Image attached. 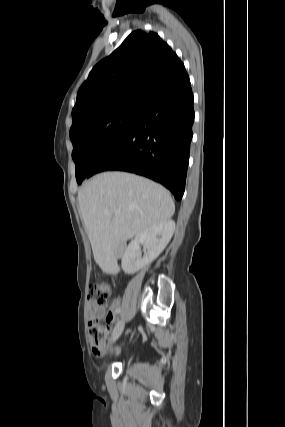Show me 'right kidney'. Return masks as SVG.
<instances>
[{
	"mask_svg": "<svg viewBox=\"0 0 285 427\" xmlns=\"http://www.w3.org/2000/svg\"><path fill=\"white\" fill-rule=\"evenodd\" d=\"M175 230V222L166 220L151 226L137 235L126 248L122 257V269L126 274H134L150 265L165 249ZM145 253L142 257L141 247Z\"/></svg>",
	"mask_w": 285,
	"mask_h": 427,
	"instance_id": "1",
	"label": "right kidney"
}]
</instances>
